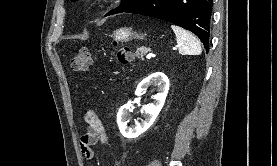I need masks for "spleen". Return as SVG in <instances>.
<instances>
[{"label": "spleen", "mask_w": 277, "mask_h": 166, "mask_svg": "<svg viewBox=\"0 0 277 166\" xmlns=\"http://www.w3.org/2000/svg\"><path fill=\"white\" fill-rule=\"evenodd\" d=\"M171 28L176 35L180 54L200 55L202 53L201 44L194 35L176 25H171Z\"/></svg>", "instance_id": "3e777b00"}]
</instances>
